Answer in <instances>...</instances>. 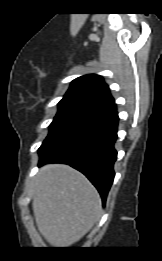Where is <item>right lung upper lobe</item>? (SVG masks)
I'll return each instance as SVG.
<instances>
[{"instance_id":"right-lung-upper-lobe-1","label":"right lung upper lobe","mask_w":162,"mask_h":261,"mask_svg":"<svg viewBox=\"0 0 162 261\" xmlns=\"http://www.w3.org/2000/svg\"><path fill=\"white\" fill-rule=\"evenodd\" d=\"M66 94H77L89 97L102 103L105 107L114 103L108 86L99 75H84L72 81Z\"/></svg>"}]
</instances>
